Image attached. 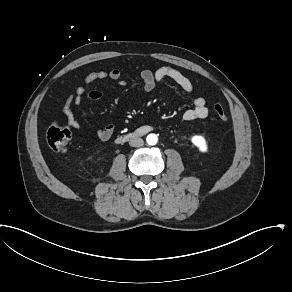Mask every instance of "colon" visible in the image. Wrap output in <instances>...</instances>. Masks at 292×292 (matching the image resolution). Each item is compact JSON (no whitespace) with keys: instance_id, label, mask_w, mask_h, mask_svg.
<instances>
[{"instance_id":"5ec220e1","label":"colon","mask_w":292,"mask_h":292,"mask_svg":"<svg viewBox=\"0 0 292 292\" xmlns=\"http://www.w3.org/2000/svg\"><path fill=\"white\" fill-rule=\"evenodd\" d=\"M213 111L222 122L228 123L229 119L227 112L221 104H214ZM46 140L54 153L63 154L66 152L67 146L71 140V132L68 128L55 124L47 130Z\"/></svg>"}]
</instances>
